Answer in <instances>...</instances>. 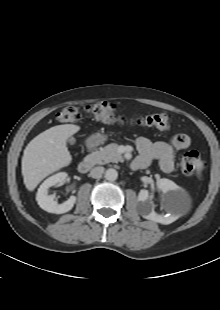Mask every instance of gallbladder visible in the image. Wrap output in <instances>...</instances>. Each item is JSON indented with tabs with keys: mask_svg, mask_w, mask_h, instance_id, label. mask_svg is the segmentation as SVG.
<instances>
[{
	"mask_svg": "<svg viewBox=\"0 0 220 310\" xmlns=\"http://www.w3.org/2000/svg\"><path fill=\"white\" fill-rule=\"evenodd\" d=\"M67 142H68L70 145H74L75 142H76V140H75L74 137H70V138L67 139Z\"/></svg>",
	"mask_w": 220,
	"mask_h": 310,
	"instance_id": "bac80fb5",
	"label": "gallbladder"
}]
</instances>
